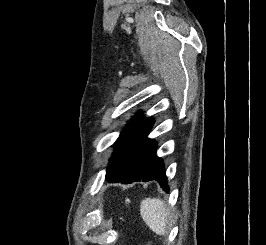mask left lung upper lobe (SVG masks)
I'll list each match as a JSON object with an SVG mask.
<instances>
[{
  "mask_svg": "<svg viewBox=\"0 0 266 245\" xmlns=\"http://www.w3.org/2000/svg\"><path fill=\"white\" fill-rule=\"evenodd\" d=\"M138 113L127 124L116 142L114 157L110 160L106 178L123 175L134 164L141 142L151 130L154 119Z\"/></svg>",
  "mask_w": 266,
  "mask_h": 245,
  "instance_id": "1",
  "label": "left lung upper lobe"
}]
</instances>
